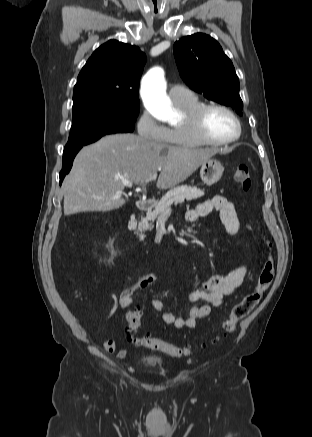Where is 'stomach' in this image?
I'll return each mask as SVG.
<instances>
[{
    "label": "stomach",
    "mask_w": 312,
    "mask_h": 437,
    "mask_svg": "<svg viewBox=\"0 0 312 437\" xmlns=\"http://www.w3.org/2000/svg\"><path fill=\"white\" fill-rule=\"evenodd\" d=\"M222 164L215 159H209L201 164L200 177L204 184L213 185L217 183L223 174Z\"/></svg>",
    "instance_id": "0dacf381"
}]
</instances>
